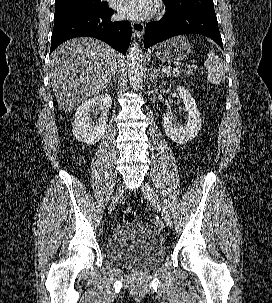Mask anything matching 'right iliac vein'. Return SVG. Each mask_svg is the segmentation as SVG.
Instances as JSON below:
<instances>
[{
    "instance_id": "63e3f726",
    "label": "right iliac vein",
    "mask_w": 272,
    "mask_h": 303,
    "mask_svg": "<svg viewBox=\"0 0 272 303\" xmlns=\"http://www.w3.org/2000/svg\"><path fill=\"white\" fill-rule=\"evenodd\" d=\"M121 191H122L121 187L116 188V190L113 194V197H112L111 205L109 207V213L113 210V207L115 206L116 202L118 201Z\"/></svg>"
}]
</instances>
